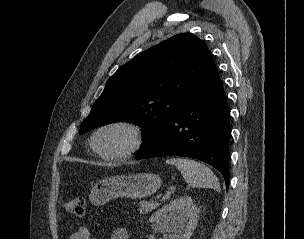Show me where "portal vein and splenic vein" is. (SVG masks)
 I'll return each mask as SVG.
<instances>
[{
    "label": "portal vein and splenic vein",
    "mask_w": 304,
    "mask_h": 239,
    "mask_svg": "<svg viewBox=\"0 0 304 239\" xmlns=\"http://www.w3.org/2000/svg\"><path fill=\"white\" fill-rule=\"evenodd\" d=\"M169 195H170V193H169V192H167L166 196H169Z\"/></svg>",
    "instance_id": "1"
}]
</instances>
